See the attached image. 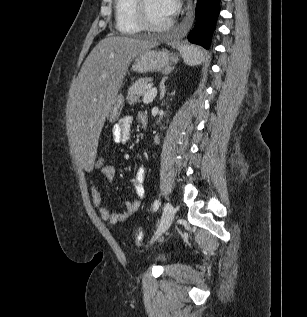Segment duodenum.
<instances>
[{
	"label": "duodenum",
	"mask_w": 307,
	"mask_h": 317,
	"mask_svg": "<svg viewBox=\"0 0 307 317\" xmlns=\"http://www.w3.org/2000/svg\"><path fill=\"white\" fill-rule=\"evenodd\" d=\"M140 121H141L142 126H143L144 128H146L147 125H148V120H147L146 115L143 116Z\"/></svg>",
	"instance_id": "1"
}]
</instances>
